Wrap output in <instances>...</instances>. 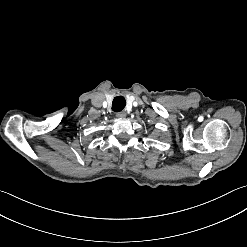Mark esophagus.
<instances>
[{"label": "esophagus", "instance_id": "1", "mask_svg": "<svg viewBox=\"0 0 247 247\" xmlns=\"http://www.w3.org/2000/svg\"><path fill=\"white\" fill-rule=\"evenodd\" d=\"M116 116H117L118 118H124V117L126 116V113H125L124 111L118 112V113L116 114Z\"/></svg>", "mask_w": 247, "mask_h": 247}]
</instances>
